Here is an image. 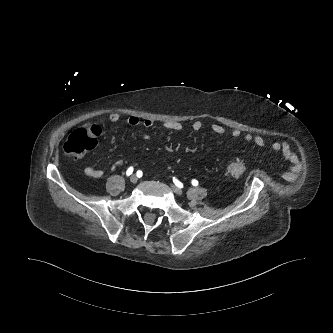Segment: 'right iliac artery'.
I'll return each mask as SVG.
<instances>
[{"label":"right iliac artery","instance_id":"obj_1","mask_svg":"<svg viewBox=\"0 0 333 333\" xmlns=\"http://www.w3.org/2000/svg\"><path fill=\"white\" fill-rule=\"evenodd\" d=\"M132 172H133V167H129L126 171V175L130 176L132 174Z\"/></svg>","mask_w":333,"mask_h":333}]
</instances>
